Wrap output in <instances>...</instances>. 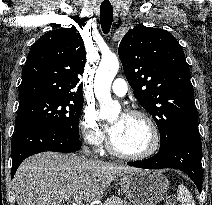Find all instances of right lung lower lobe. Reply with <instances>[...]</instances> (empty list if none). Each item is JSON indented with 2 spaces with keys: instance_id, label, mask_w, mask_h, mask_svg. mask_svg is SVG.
Listing matches in <instances>:
<instances>
[{
  "instance_id": "obj_1",
  "label": "right lung lower lobe",
  "mask_w": 212,
  "mask_h": 205,
  "mask_svg": "<svg viewBox=\"0 0 212 205\" xmlns=\"http://www.w3.org/2000/svg\"><path fill=\"white\" fill-rule=\"evenodd\" d=\"M80 140L58 128L36 125L16 130L12 139L13 178L18 166L27 157L45 151L72 153L80 149Z\"/></svg>"
}]
</instances>
